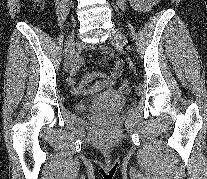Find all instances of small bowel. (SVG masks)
<instances>
[{
  "instance_id": "c3829d8e",
  "label": "small bowel",
  "mask_w": 207,
  "mask_h": 179,
  "mask_svg": "<svg viewBox=\"0 0 207 179\" xmlns=\"http://www.w3.org/2000/svg\"><path fill=\"white\" fill-rule=\"evenodd\" d=\"M135 9L140 12L149 11L158 0H129ZM91 48V46H89ZM101 52L106 56L112 59V65L109 73L104 72H90L86 74L82 81L79 84H76L75 74L77 70L83 64V60L80 56L75 55L71 58L69 64L70 77L67 82L72 88V92L76 95H81L87 92L99 91L104 89L112 88L118 79L120 78L123 71V62L122 59L114 55L113 50L109 46L101 45L99 47ZM95 78H100L101 80L91 84Z\"/></svg>"
}]
</instances>
